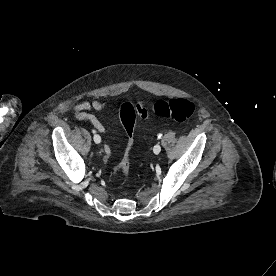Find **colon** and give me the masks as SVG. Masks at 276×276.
Segmentation results:
<instances>
[{
    "label": "colon",
    "instance_id": "obj_1",
    "mask_svg": "<svg viewBox=\"0 0 276 276\" xmlns=\"http://www.w3.org/2000/svg\"><path fill=\"white\" fill-rule=\"evenodd\" d=\"M194 112V104L183 98H173L170 100H160L154 103L150 110L145 103L133 105L129 102L123 103L119 108V115L122 124L131 137L136 121V117L147 119L150 114L158 117L170 118L178 122H183L191 117ZM130 163L129 153H127L115 168L117 177H126Z\"/></svg>",
    "mask_w": 276,
    "mask_h": 276
}]
</instances>
